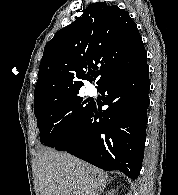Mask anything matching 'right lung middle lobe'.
I'll use <instances>...</instances> for the list:
<instances>
[{"mask_svg": "<svg viewBox=\"0 0 178 195\" xmlns=\"http://www.w3.org/2000/svg\"><path fill=\"white\" fill-rule=\"evenodd\" d=\"M78 94L47 100L34 108L41 143L56 147L73 135L77 123L93 105Z\"/></svg>", "mask_w": 178, "mask_h": 195, "instance_id": "1", "label": "right lung middle lobe"}]
</instances>
